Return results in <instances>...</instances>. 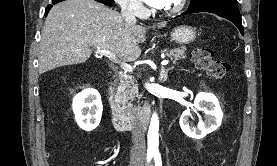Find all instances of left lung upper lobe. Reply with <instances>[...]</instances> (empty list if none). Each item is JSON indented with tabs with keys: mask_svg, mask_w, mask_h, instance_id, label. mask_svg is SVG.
Wrapping results in <instances>:
<instances>
[{
	"mask_svg": "<svg viewBox=\"0 0 277 166\" xmlns=\"http://www.w3.org/2000/svg\"><path fill=\"white\" fill-rule=\"evenodd\" d=\"M212 3L237 4V0H191L188 10Z\"/></svg>",
	"mask_w": 277,
	"mask_h": 166,
	"instance_id": "left-lung-upper-lobe-1",
	"label": "left lung upper lobe"
}]
</instances>
